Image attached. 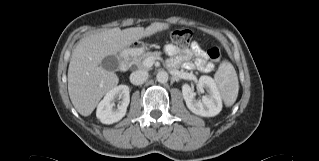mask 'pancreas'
<instances>
[{"label":"pancreas","instance_id":"1","mask_svg":"<svg viewBox=\"0 0 319 161\" xmlns=\"http://www.w3.org/2000/svg\"><path fill=\"white\" fill-rule=\"evenodd\" d=\"M160 56L159 52H142L141 54L134 56L131 61L130 64L132 65H136L139 69H150V66H146L145 60L147 58H154L157 59Z\"/></svg>","mask_w":319,"mask_h":161}]
</instances>
